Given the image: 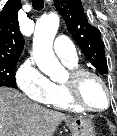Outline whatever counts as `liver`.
<instances>
[{
  "label": "liver",
  "instance_id": "obj_1",
  "mask_svg": "<svg viewBox=\"0 0 117 136\" xmlns=\"http://www.w3.org/2000/svg\"><path fill=\"white\" fill-rule=\"evenodd\" d=\"M73 117L31 102L16 89L0 87V136H52Z\"/></svg>",
  "mask_w": 117,
  "mask_h": 136
}]
</instances>
